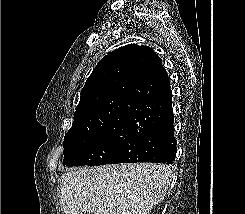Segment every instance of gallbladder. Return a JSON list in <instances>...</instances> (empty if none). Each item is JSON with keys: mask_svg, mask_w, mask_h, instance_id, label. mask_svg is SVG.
<instances>
[{"mask_svg": "<svg viewBox=\"0 0 245 214\" xmlns=\"http://www.w3.org/2000/svg\"><path fill=\"white\" fill-rule=\"evenodd\" d=\"M83 214H92L91 212H84Z\"/></svg>", "mask_w": 245, "mask_h": 214, "instance_id": "bac80fb5", "label": "gallbladder"}]
</instances>
